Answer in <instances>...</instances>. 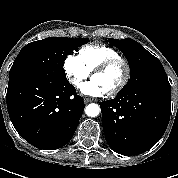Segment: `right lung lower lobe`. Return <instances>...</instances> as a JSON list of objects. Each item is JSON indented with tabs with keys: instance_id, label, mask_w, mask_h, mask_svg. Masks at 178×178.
I'll return each mask as SVG.
<instances>
[{
	"instance_id": "1",
	"label": "right lung lower lobe",
	"mask_w": 178,
	"mask_h": 178,
	"mask_svg": "<svg viewBox=\"0 0 178 178\" xmlns=\"http://www.w3.org/2000/svg\"><path fill=\"white\" fill-rule=\"evenodd\" d=\"M6 100L16 131L45 150L61 148L70 141L85 107L83 98L61 76L11 78Z\"/></svg>"
}]
</instances>
